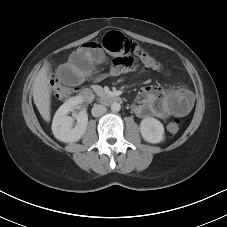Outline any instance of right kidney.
<instances>
[{"label": "right kidney", "instance_id": "1", "mask_svg": "<svg viewBox=\"0 0 227 227\" xmlns=\"http://www.w3.org/2000/svg\"><path fill=\"white\" fill-rule=\"evenodd\" d=\"M83 99L80 96L72 97L59 107L54 115L52 122V132L56 139L64 143H73L79 141L85 134L88 115L86 110H81L77 118V124L73 128L74 119L68 116L75 106L81 104Z\"/></svg>", "mask_w": 227, "mask_h": 227}]
</instances>
